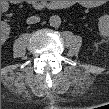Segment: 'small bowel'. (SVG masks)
<instances>
[{
	"label": "small bowel",
	"mask_w": 109,
	"mask_h": 109,
	"mask_svg": "<svg viewBox=\"0 0 109 109\" xmlns=\"http://www.w3.org/2000/svg\"><path fill=\"white\" fill-rule=\"evenodd\" d=\"M86 6L93 7V6H95V2H93V1L87 2Z\"/></svg>",
	"instance_id": "obj_1"
}]
</instances>
